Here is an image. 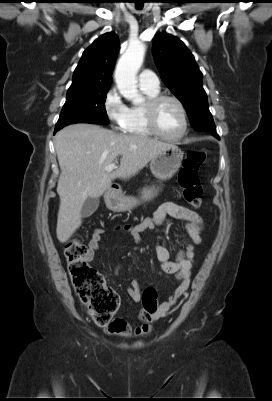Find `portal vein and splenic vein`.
I'll use <instances>...</instances> for the list:
<instances>
[{"label": "portal vein and splenic vein", "instance_id": "1", "mask_svg": "<svg viewBox=\"0 0 272 401\" xmlns=\"http://www.w3.org/2000/svg\"><path fill=\"white\" fill-rule=\"evenodd\" d=\"M116 168H117L116 164H115V163H112V164H109L108 166H106V167H105V170H106L107 172H111V171H113V170L116 169Z\"/></svg>", "mask_w": 272, "mask_h": 401}]
</instances>
